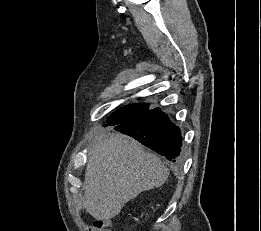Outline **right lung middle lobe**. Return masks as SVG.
I'll use <instances>...</instances> for the list:
<instances>
[{
  "mask_svg": "<svg viewBox=\"0 0 261 231\" xmlns=\"http://www.w3.org/2000/svg\"><path fill=\"white\" fill-rule=\"evenodd\" d=\"M149 110V104H133L121 108L111 117L107 119V124L103 125L104 127L110 125H119L125 123Z\"/></svg>",
  "mask_w": 261,
  "mask_h": 231,
  "instance_id": "1",
  "label": "right lung middle lobe"
}]
</instances>
